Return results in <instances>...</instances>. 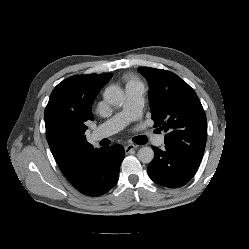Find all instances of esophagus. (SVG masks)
<instances>
[{
    "mask_svg": "<svg viewBox=\"0 0 249 249\" xmlns=\"http://www.w3.org/2000/svg\"><path fill=\"white\" fill-rule=\"evenodd\" d=\"M136 149H138V146L134 144H128L125 146L126 153H130L131 151L136 150Z\"/></svg>",
    "mask_w": 249,
    "mask_h": 249,
    "instance_id": "34e87169",
    "label": "esophagus"
}]
</instances>
